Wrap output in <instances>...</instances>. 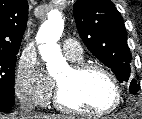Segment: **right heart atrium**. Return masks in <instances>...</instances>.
Segmentation results:
<instances>
[{
	"label": "right heart atrium",
	"mask_w": 142,
	"mask_h": 119,
	"mask_svg": "<svg viewBox=\"0 0 142 119\" xmlns=\"http://www.w3.org/2000/svg\"><path fill=\"white\" fill-rule=\"evenodd\" d=\"M52 91L53 82L39 60L33 56L23 55L15 78L17 96L36 105H45Z\"/></svg>",
	"instance_id": "right-heart-atrium-1"
}]
</instances>
